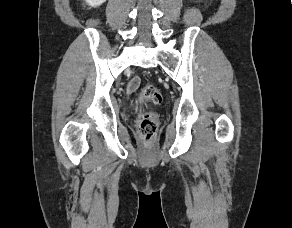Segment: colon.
<instances>
[{"mask_svg": "<svg viewBox=\"0 0 292 228\" xmlns=\"http://www.w3.org/2000/svg\"><path fill=\"white\" fill-rule=\"evenodd\" d=\"M138 98L141 101H148L153 104H160L162 102V95L159 90L151 85L143 87L138 93ZM139 130L142 139L146 144H151L157 133L158 117L154 112H146L139 116L138 119Z\"/></svg>", "mask_w": 292, "mask_h": 228, "instance_id": "colon-1", "label": "colon"}]
</instances>
